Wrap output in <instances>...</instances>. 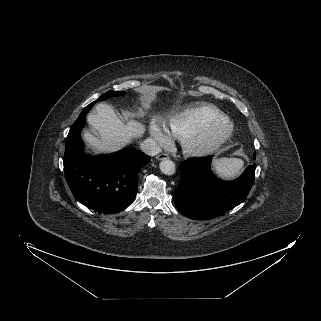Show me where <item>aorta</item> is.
<instances>
[{
	"instance_id": "aorta-1",
	"label": "aorta",
	"mask_w": 321,
	"mask_h": 321,
	"mask_svg": "<svg viewBox=\"0 0 321 321\" xmlns=\"http://www.w3.org/2000/svg\"><path fill=\"white\" fill-rule=\"evenodd\" d=\"M159 168L165 175H173L176 171L175 163L169 159H164L160 162Z\"/></svg>"
}]
</instances>
